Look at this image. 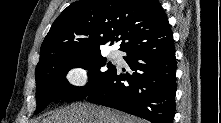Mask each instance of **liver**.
<instances>
[{"label":"liver","instance_id":"1","mask_svg":"<svg viewBox=\"0 0 221 123\" xmlns=\"http://www.w3.org/2000/svg\"><path fill=\"white\" fill-rule=\"evenodd\" d=\"M42 123H145V121L110 108L79 102L54 111Z\"/></svg>","mask_w":221,"mask_h":123}]
</instances>
